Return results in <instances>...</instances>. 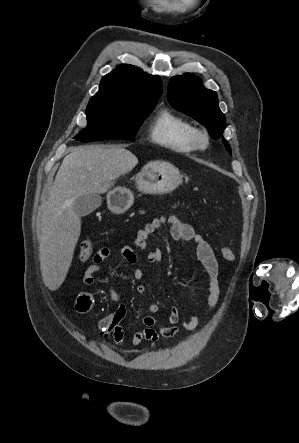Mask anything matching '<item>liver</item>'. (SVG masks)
<instances>
[{"instance_id": "liver-1", "label": "liver", "mask_w": 299, "mask_h": 443, "mask_svg": "<svg viewBox=\"0 0 299 443\" xmlns=\"http://www.w3.org/2000/svg\"><path fill=\"white\" fill-rule=\"evenodd\" d=\"M137 164V157L122 146L79 147L65 156L42 212L40 269L49 290H57L64 282L80 236L74 200L83 194L107 192L112 181Z\"/></svg>"}]
</instances>
